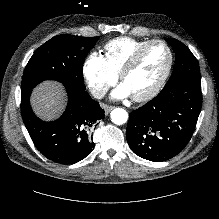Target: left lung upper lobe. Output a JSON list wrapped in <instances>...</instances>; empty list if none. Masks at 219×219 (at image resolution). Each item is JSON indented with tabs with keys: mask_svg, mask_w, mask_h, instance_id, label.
<instances>
[{
	"mask_svg": "<svg viewBox=\"0 0 219 219\" xmlns=\"http://www.w3.org/2000/svg\"><path fill=\"white\" fill-rule=\"evenodd\" d=\"M166 41L169 45L172 46L176 57L172 76L170 77L163 89L169 87L172 83L185 77L200 78L198 61L189 50V48L176 39H166Z\"/></svg>",
	"mask_w": 219,
	"mask_h": 219,
	"instance_id": "obj_1",
	"label": "left lung upper lobe"
}]
</instances>
